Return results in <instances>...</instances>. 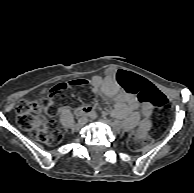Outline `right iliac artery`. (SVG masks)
Masks as SVG:
<instances>
[{"label": "right iliac artery", "mask_w": 194, "mask_h": 193, "mask_svg": "<svg viewBox=\"0 0 194 193\" xmlns=\"http://www.w3.org/2000/svg\"><path fill=\"white\" fill-rule=\"evenodd\" d=\"M84 121V119L83 118H80L79 120H78V122H83Z\"/></svg>", "instance_id": "1"}]
</instances>
